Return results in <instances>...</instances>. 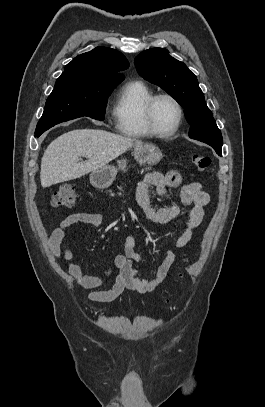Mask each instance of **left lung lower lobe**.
Wrapping results in <instances>:
<instances>
[{
  "label": "left lung lower lobe",
  "mask_w": 265,
  "mask_h": 407,
  "mask_svg": "<svg viewBox=\"0 0 265 407\" xmlns=\"http://www.w3.org/2000/svg\"><path fill=\"white\" fill-rule=\"evenodd\" d=\"M211 147L214 148V150L216 151V153H217L218 155L222 156L221 151H220L215 145H212Z\"/></svg>",
  "instance_id": "1"
}]
</instances>
